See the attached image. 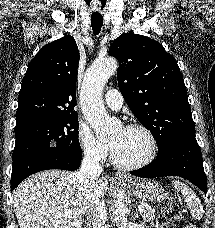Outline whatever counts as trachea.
<instances>
[{
	"mask_svg": "<svg viewBox=\"0 0 215 228\" xmlns=\"http://www.w3.org/2000/svg\"><path fill=\"white\" fill-rule=\"evenodd\" d=\"M92 29L94 35H98L103 25V17L101 14L95 13L91 16Z\"/></svg>",
	"mask_w": 215,
	"mask_h": 228,
	"instance_id": "3493384b",
	"label": "trachea"
}]
</instances>
